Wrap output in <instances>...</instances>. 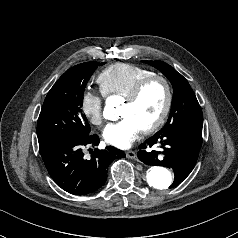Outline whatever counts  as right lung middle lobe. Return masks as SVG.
<instances>
[{
    "label": "right lung middle lobe",
    "mask_w": 238,
    "mask_h": 238,
    "mask_svg": "<svg viewBox=\"0 0 238 238\" xmlns=\"http://www.w3.org/2000/svg\"><path fill=\"white\" fill-rule=\"evenodd\" d=\"M104 63L92 61L76 65L50 89L37 124L40 149L90 134V126L81 110L83 93L92 73Z\"/></svg>",
    "instance_id": "dd1d6c3e"
}]
</instances>
